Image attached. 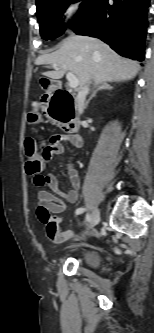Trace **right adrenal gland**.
Returning <instances> with one entry per match:
<instances>
[{
  "mask_svg": "<svg viewBox=\"0 0 154 333\" xmlns=\"http://www.w3.org/2000/svg\"><path fill=\"white\" fill-rule=\"evenodd\" d=\"M113 89V87L108 84L107 82H102L98 85V87L93 91L92 95L89 97V99L87 100L85 107L88 105V103L90 102V100L96 96L98 91H102V90H111Z\"/></svg>",
  "mask_w": 154,
  "mask_h": 333,
  "instance_id": "1",
  "label": "right adrenal gland"
}]
</instances>
